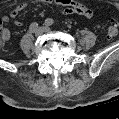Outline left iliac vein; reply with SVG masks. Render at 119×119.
Instances as JSON below:
<instances>
[{"instance_id": "1", "label": "left iliac vein", "mask_w": 119, "mask_h": 119, "mask_svg": "<svg viewBox=\"0 0 119 119\" xmlns=\"http://www.w3.org/2000/svg\"><path fill=\"white\" fill-rule=\"evenodd\" d=\"M43 29H44V32H50L51 31L50 28H48V27H43Z\"/></svg>"}]
</instances>
